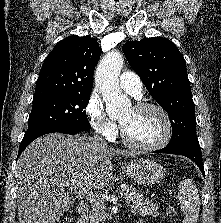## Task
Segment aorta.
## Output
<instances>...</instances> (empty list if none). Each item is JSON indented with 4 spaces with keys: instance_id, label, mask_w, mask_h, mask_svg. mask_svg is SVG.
<instances>
[{
    "instance_id": "aorta-1",
    "label": "aorta",
    "mask_w": 221,
    "mask_h": 223,
    "mask_svg": "<svg viewBox=\"0 0 221 223\" xmlns=\"http://www.w3.org/2000/svg\"><path fill=\"white\" fill-rule=\"evenodd\" d=\"M122 67V55L111 51L100 61L95 73V83L100 89L110 117H116L131 107L130 100L122 94L119 87Z\"/></svg>"
}]
</instances>
